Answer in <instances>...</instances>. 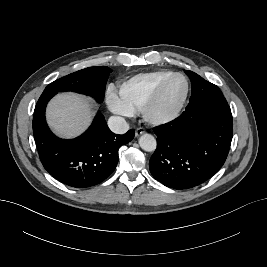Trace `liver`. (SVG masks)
I'll return each mask as SVG.
<instances>
[{
    "label": "liver",
    "mask_w": 267,
    "mask_h": 267,
    "mask_svg": "<svg viewBox=\"0 0 267 267\" xmlns=\"http://www.w3.org/2000/svg\"><path fill=\"white\" fill-rule=\"evenodd\" d=\"M93 115L91 99L75 93L56 95L46 111L48 125L64 138H74L83 133L91 124Z\"/></svg>",
    "instance_id": "liver-1"
}]
</instances>
